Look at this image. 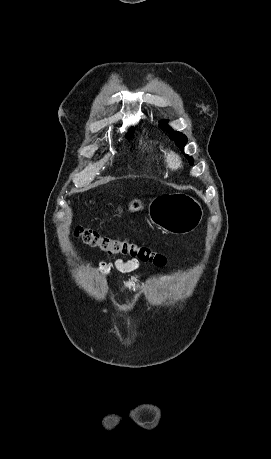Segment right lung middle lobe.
<instances>
[{
	"instance_id": "right-lung-middle-lobe-1",
	"label": "right lung middle lobe",
	"mask_w": 271,
	"mask_h": 459,
	"mask_svg": "<svg viewBox=\"0 0 271 459\" xmlns=\"http://www.w3.org/2000/svg\"><path fill=\"white\" fill-rule=\"evenodd\" d=\"M133 130L129 131V134L127 135V138H130L132 136Z\"/></svg>"
}]
</instances>
